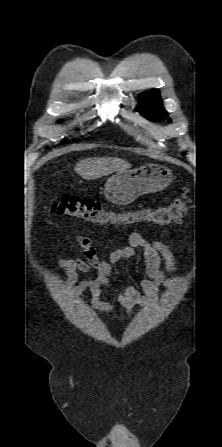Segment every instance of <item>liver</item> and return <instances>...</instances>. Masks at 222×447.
<instances>
[{
  "mask_svg": "<svg viewBox=\"0 0 222 447\" xmlns=\"http://www.w3.org/2000/svg\"><path fill=\"white\" fill-rule=\"evenodd\" d=\"M129 168L131 164L121 158L94 157L79 161L74 169L83 179L93 180Z\"/></svg>",
  "mask_w": 222,
  "mask_h": 447,
  "instance_id": "1",
  "label": "liver"
}]
</instances>
